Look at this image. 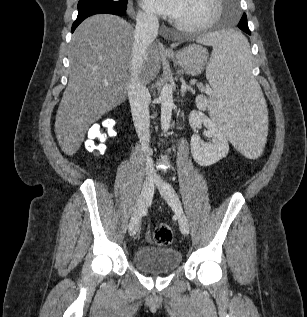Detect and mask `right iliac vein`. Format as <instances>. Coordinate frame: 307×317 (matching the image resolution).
I'll return each mask as SVG.
<instances>
[{
  "label": "right iliac vein",
  "mask_w": 307,
  "mask_h": 317,
  "mask_svg": "<svg viewBox=\"0 0 307 317\" xmlns=\"http://www.w3.org/2000/svg\"><path fill=\"white\" fill-rule=\"evenodd\" d=\"M153 193H154V178L147 177L146 180L144 181L139 200L133 211V214L131 216L130 223L128 226L129 234L131 236H134L138 232L142 215L144 213V210L147 208V206L151 202Z\"/></svg>",
  "instance_id": "1"
}]
</instances>
